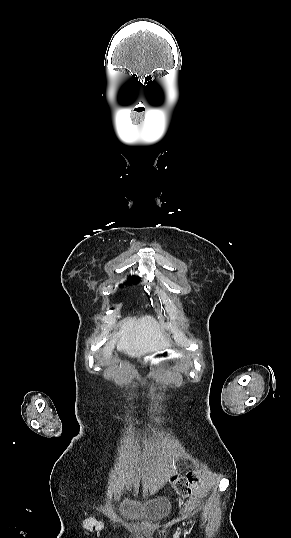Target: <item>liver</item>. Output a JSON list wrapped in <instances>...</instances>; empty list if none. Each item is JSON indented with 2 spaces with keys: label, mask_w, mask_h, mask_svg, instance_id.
I'll list each match as a JSON object with an SVG mask.
<instances>
[{
  "label": "liver",
  "mask_w": 291,
  "mask_h": 538,
  "mask_svg": "<svg viewBox=\"0 0 291 538\" xmlns=\"http://www.w3.org/2000/svg\"><path fill=\"white\" fill-rule=\"evenodd\" d=\"M163 330L153 316L127 318L103 348V355L105 358L111 356L118 338L117 350L124 351L131 357L167 348L170 342Z\"/></svg>",
  "instance_id": "obj_1"
}]
</instances>
